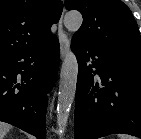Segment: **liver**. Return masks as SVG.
<instances>
[{
	"mask_svg": "<svg viewBox=\"0 0 141 139\" xmlns=\"http://www.w3.org/2000/svg\"><path fill=\"white\" fill-rule=\"evenodd\" d=\"M11 129V126L7 123L0 122V139H4L7 132Z\"/></svg>",
	"mask_w": 141,
	"mask_h": 139,
	"instance_id": "obj_1",
	"label": "liver"
}]
</instances>
